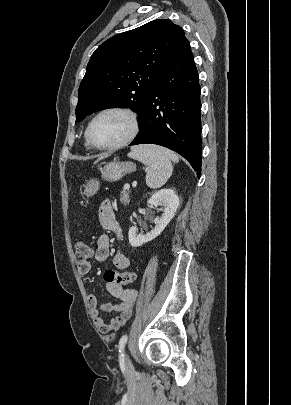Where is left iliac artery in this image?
I'll use <instances>...</instances> for the list:
<instances>
[{
  "label": "left iliac artery",
  "mask_w": 291,
  "mask_h": 405,
  "mask_svg": "<svg viewBox=\"0 0 291 405\" xmlns=\"http://www.w3.org/2000/svg\"><path fill=\"white\" fill-rule=\"evenodd\" d=\"M127 339H128L127 335H123L120 338V341H119V353H120L119 358H120V360L124 359V348H125Z\"/></svg>",
  "instance_id": "44dca946"
}]
</instances>
